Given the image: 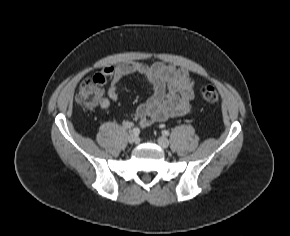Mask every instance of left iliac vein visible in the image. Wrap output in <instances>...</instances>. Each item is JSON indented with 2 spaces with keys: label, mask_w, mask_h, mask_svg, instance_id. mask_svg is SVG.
Segmentation results:
<instances>
[{
  "label": "left iliac vein",
  "mask_w": 290,
  "mask_h": 236,
  "mask_svg": "<svg viewBox=\"0 0 290 236\" xmlns=\"http://www.w3.org/2000/svg\"><path fill=\"white\" fill-rule=\"evenodd\" d=\"M157 142L162 148H167L169 146V140L165 137H159Z\"/></svg>",
  "instance_id": "left-iliac-vein-1"
}]
</instances>
